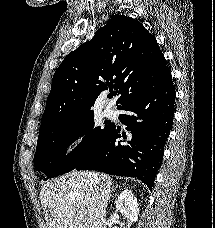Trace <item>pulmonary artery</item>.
<instances>
[{"instance_id": "1", "label": "pulmonary artery", "mask_w": 215, "mask_h": 228, "mask_svg": "<svg viewBox=\"0 0 215 228\" xmlns=\"http://www.w3.org/2000/svg\"><path fill=\"white\" fill-rule=\"evenodd\" d=\"M114 113H115V109H114L112 103L108 100L107 105L104 109V115L106 117H112L114 115Z\"/></svg>"}]
</instances>
